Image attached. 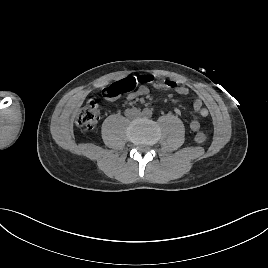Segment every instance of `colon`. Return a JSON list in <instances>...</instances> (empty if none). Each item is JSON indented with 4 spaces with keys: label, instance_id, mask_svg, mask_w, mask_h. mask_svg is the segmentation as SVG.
<instances>
[{
    "label": "colon",
    "instance_id": "5ec220e1",
    "mask_svg": "<svg viewBox=\"0 0 268 268\" xmlns=\"http://www.w3.org/2000/svg\"><path fill=\"white\" fill-rule=\"evenodd\" d=\"M138 84H151L164 90H171L174 86L172 81H164L162 83H155L151 75H139L126 77L117 81L108 87L103 88L102 96L108 100H114L124 93L131 92ZM100 119V104L96 96H91L87 103L78 111L76 115L77 125L92 129ZM207 140V135L204 132H198L195 135L197 143H204Z\"/></svg>",
    "mask_w": 268,
    "mask_h": 268
}]
</instances>
